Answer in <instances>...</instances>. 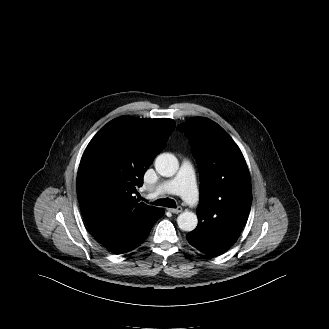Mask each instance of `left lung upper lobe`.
<instances>
[{"instance_id":"obj_1","label":"left lung upper lobe","mask_w":329,"mask_h":329,"mask_svg":"<svg viewBox=\"0 0 329 329\" xmlns=\"http://www.w3.org/2000/svg\"><path fill=\"white\" fill-rule=\"evenodd\" d=\"M193 146L201 190L198 228L221 233L228 223L244 226L252 191L245 159L233 139L215 122L192 118L178 125Z\"/></svg>"}]
</instances>
